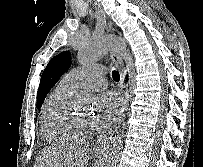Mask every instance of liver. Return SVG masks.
<instances>
[{"label":"liver","instance_id":"6515ba94","mask_svg":"<svg viewBox=\"0 0 203 167\" xmlns=\"http://www.w3.org/2000/svg\"><path fill=\"white\" fill-rule=\"evenodd\" d=\"M91 149L80 144L59 148H44L36 159L35 167H87Z\"/></svg>","mask_w":203,"mask_h":167}]
</instances>
